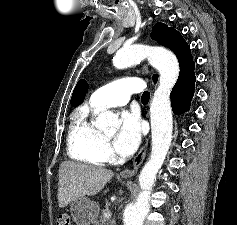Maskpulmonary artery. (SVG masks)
Segmentation results:
<instances>
[{
	"label": "pulmonary artery",
	"instance_id": "e3ab8cb5",
	"mask_svg": "<svg viewBox=\"0 0 237 225\" xmlns=\"http://www.w3.org/2000/svg\"><path fill=\"white\" fill-rule=\"evenodd\" d=\"M144 88L140 78L126 77L99 87L91 95V104L98 108L122 106L128 103L131 94L139 93Z\"/></svg>",
	"mask_w": 237,
	"mask_h": 225
}]
</instances>
